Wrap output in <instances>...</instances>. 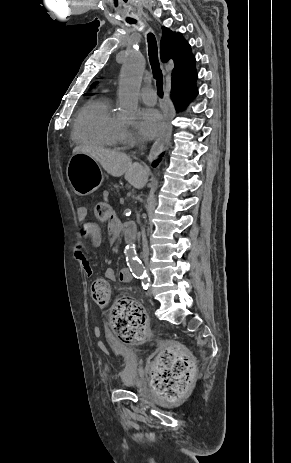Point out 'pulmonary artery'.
Here are the masks:
<instances>
[{
    "label": "pulmonary artery",
    "instance_id": "obj_1",
    "mask_svg": "<svg viewBox=\"0 0 291 463\" xmlns=\"http://www.w3.org/2000/svg\"><path fill=\"white\" fill-rule=\"evenodd\" d=\"M142 101L147 105H154L157 100V94L150 86H145L140 91Z\"/></svg>",
    "mask_w": 291,
    "mask_h": 463
}]
</instances>
